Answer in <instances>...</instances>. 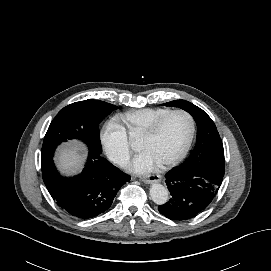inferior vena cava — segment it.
<instances>
[{
    "mask_svg": "<svg viewBox=\"0 0 271 271\" xmlns=\"http://www.w3.org/2000/svg\"><path fill=\"white\" fill-rule=\"evenodd\" d=\"M113 161L121 167H126L129 163V156L127 155L117 156L113 159Z\"/></svg>",
    "mask_w": 271,
    "mask_h": 271,
    "instance_id": "1",
    "label": "inferior vena cava"
}]
</instances>
